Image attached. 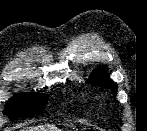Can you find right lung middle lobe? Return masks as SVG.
I'll use <instances>...</instances> for the list:
<instances>
[{
	"mask_svg": "<svg viewBox=\"0 0 147 131\" xmlns=\"http://www.w3.org/2000/svg\"><path fill=\"white\" fill-rule=\"evenodd\" d=\"M48 101V96L38 94L18 95L6 103L4 114L11 115L10 119L27 117L43 110Z\"/></svg>",
	"mask_w": 147,
	"mask_h": 131,
	"instance_id": "1",
	"label": "right lung middle lobe"
}]
</instances>
